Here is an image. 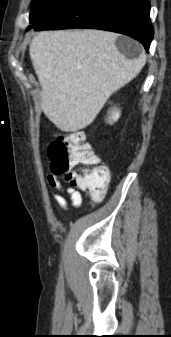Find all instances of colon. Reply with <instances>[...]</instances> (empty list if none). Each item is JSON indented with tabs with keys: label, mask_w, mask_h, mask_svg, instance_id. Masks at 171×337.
I'll return each mask as SVG.
<instances>
[{
	"label": "colon",
	"mask_w": 171,
	"mask_h": 337,
	"mask_svg": "<svg viewBox=\"0 0 171 337\" xmlns=\"http://www.w3.org/2000/svg\"><path fill=\"white\" fill-rule=\"evenodd\" d=\"M52 170L64 174L71 186L89 192L100 201L107 192L110 172L87 141L84 132L58 133L48 148Z\"/></svg>",
	"instance_id": "colon-1"
}]
</instances>
